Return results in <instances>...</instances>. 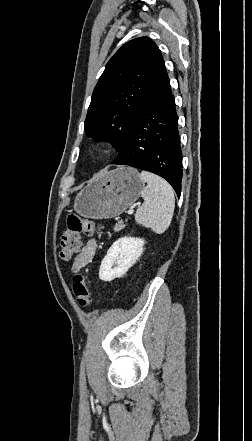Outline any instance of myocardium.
<instances>
[{
    "mask_svg": "<svg viewBox=\"0 0 252 441\" xmlns=\"http://www.w3.org/2000/svg\"><path fill=\"white\" fill-rule=\"evenodd\" d=\"M98 149L101 150V149H102V146H99Z\"/></svg>",
    "mask_w": 252,
    "mask_h": 441,
    "instance_id": "myocardium-1",
    "label": "myocardium"
}]
</instances>
